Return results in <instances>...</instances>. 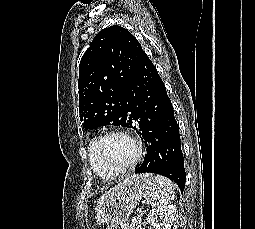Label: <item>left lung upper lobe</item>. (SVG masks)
<instances>
[{
  "instance_id": "1",
  "label": "left lung upper lobe",
  "mask_w": 255,
  "mask_h": 229,
  "mask_svg": "<svg viewBox=\"0 0 255 229\" xmlns=\"http://www.w3.org/2000/svg\"><path fill=\"white\" fill-rule=\"evenodd\" d=\"M142 53L138 40L123 27L104 28L94 37L79 65V112L84 127H127L124 91Z\"/></svg>"
}]
</instances>
